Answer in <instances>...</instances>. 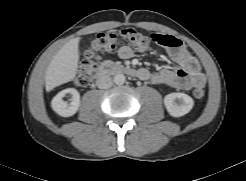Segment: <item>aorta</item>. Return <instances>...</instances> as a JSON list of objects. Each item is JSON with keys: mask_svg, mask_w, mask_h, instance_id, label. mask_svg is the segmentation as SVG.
I'll use <instances>...</instances> for the list:
<instances>
[{"mask_svg": "<svg viewBox=\"0 0 246 181\" xmlns=\"http://www.w3.org/2000/svg\"><path fill=\"white\" fill-rule=\"evenodd\" d=\"M126 81V77L123 74H116L114 76V83L117 85H123Z\"/></svg>", "mask_w": 246, "mask_h": 181, "instance_id": "obj_1", "label": "aorta"}]
</instances>
